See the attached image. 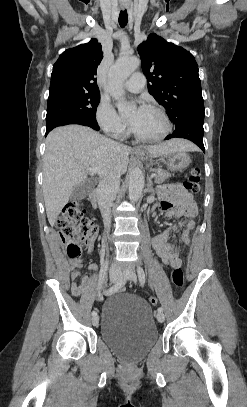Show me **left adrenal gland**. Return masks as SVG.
Returning a JSON list of instances; mask_svg holds the SVG:
<instances>
[{
    "label": "left adrenal gland",
    "instance_id": "left-adrenal-gland-1",
    "mask_svg": "<svg viewBox=\"0 0 247 407\" xmlns=\"http://www.w3.org/2000/svg\"><path fill=\"white\" fill-rule=\"evenodd\" d=\"M147 191L149 193H154L152 179L150 177L147 178Z\"/></svg>",
    "mask_w": 247,
    "mask_h": 407
}]
</instances>
